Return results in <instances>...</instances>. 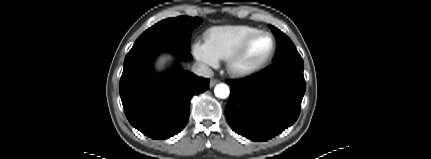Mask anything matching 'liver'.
<instances>
[{
    "label": "liver",
    "mask_w": 431,
    "mask_h": 159,
    "mask_svg": "<svg viewBox=\"0 0 431 159\" xmlns=\"http://www.w3.org/2000/svg\"><path fill=\"white\" fill-rule=\"evenodd\" d=\"M166 59H167V58H165V57H164V58H161V59H160V61H159V64H160V65H162V64L165 62V60H166Z\"/></svg>",
    "instance_id": "6515ba94"
}]
</instances>
